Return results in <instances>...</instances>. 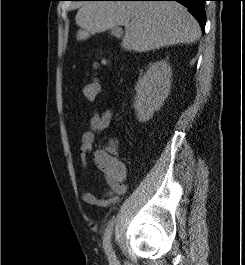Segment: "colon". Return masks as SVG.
Returning a JSON list of instances; mask_svg holds the SVG:
<instances>
[{
    "mask_svg": "<svg viewBox=\"0 0 245 265\" xmlns=\"http://www.w3.org/2000/svg\"><path fill=\"white\" fill-rule=\"evenodd\" d=\"M107 63V60H103ZM100 93V84L96 79H93L87 83L83 88V95L88 101H94L97 99ZM99 170L112 178L121 177L124 174L123 164L116 159L115 156L108 153H100L98 156Z\"/></svg>",
    "mask_w": 245,
    "mask_h": 265,
    "instance_id": "colon-1",
    "label": "colon"
}]
</instances>
